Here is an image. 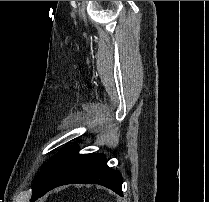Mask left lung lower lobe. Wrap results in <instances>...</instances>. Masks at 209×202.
Returning <instances> with one entry per match:
<instances>
[{"mask_svg": "<svg viewBox=\"0 0 209 202\" xmlns=\"http://www.w3.org/2000/svg\"><path fill=\"white\" fill-rule=\"evenodd\" d=\"M122 181L120 172L107 165L103 154H79L78 146H69L55 155L30 201H35L51 189L72 183L102 185L123 196Z\"/></svg>", "mask_w": 209, "mask_h": 202, "instance_id": "left-lung-lower-lobe-1", "label": "left lung lower lobe"}]
</instances>
